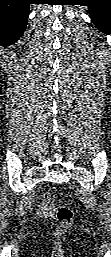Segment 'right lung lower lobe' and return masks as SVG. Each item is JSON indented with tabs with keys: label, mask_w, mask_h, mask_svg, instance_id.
<instances>
[{
	"label": "right lung lower lobe",
	"mask_w": 111,
	"mask_h": 257,
	"mask_svg": "<svg viewBox=\"0 0 111 257\" xmlns=\"http://www.w3.org/2000/svg\"><path fill=\"white\" fill-rule=\"evenodd\" d=\"M29 0H0V45L7 46L23 34L28 20Z\"/></svg>",
	"instance_id": "obj_1"
}]
</instances>
